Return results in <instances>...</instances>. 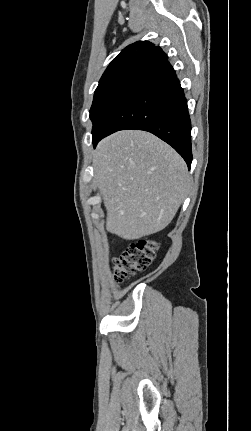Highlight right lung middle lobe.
Instances as JSON below:
<instances>
[{
    "label": "right lung middle lobe",
    "mask_w": 251,
    "mask_h": 431,
    "mask_svg": "<svg viewBox=\"0 0 251 431\" xmlns=\"http://www.w3.org/2000/svg\"><path fill=\"white\" fill-rule=\"evenodd\" d=\"M147 66L144 62L129 64L99 82L90 109L93 139L105 130L111 117L141 79Z\"/></svg>",
    "instance_id": "1"
}]
</instances>
